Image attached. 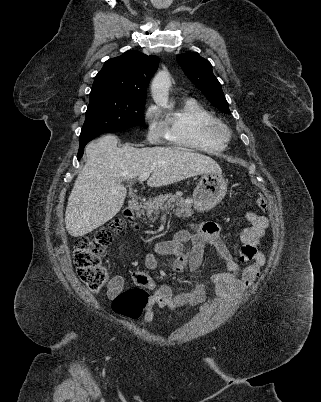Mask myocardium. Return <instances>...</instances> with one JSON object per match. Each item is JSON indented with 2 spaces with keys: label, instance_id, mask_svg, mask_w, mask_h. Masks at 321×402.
Segmentation results:
<instances>
[{
  "label": "myocardium",
  "instance_id": "obj_1",
  "mask_svg": "<svg viewBox=\"0 0 321 402\" xmlns=\"http://www.w3.org/2000/svg\"><path fill=\"white\" fill-rule=\"evenodd\" d=\"M206 130L214 137L226 142L231 137V130L221 120L214 118L206 125Z\"/></svg>",
  "mask_w": 321,
  "mask_h": 402
}]
</instances>
